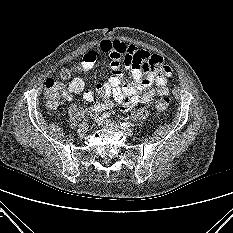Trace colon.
<instances>
[{
    "mask_svg": "<svg viewBox=\"0 0 233 233\" xmlns=\"http://www.w3.org/2000/svg\"><path fill=\"white\" fill-rule=\"evenodd\" d=\"M77 72L76 67L64 69L61 72V77L63 79L69 78L73 73ZM65 86L60 81L54 79H47L44 86V98L46 104L50 108L56 107L60 96L64 93ZM95 91L99 97L105 100L107 105H111L109 101V96L106 93L103 84H96ZM170 99L165 94H158L154 97L153 104L157 111L164 112L168 109Z\"/></svg>",
    "mask_w": 233,
    "mask_h": 233,
    "instance_id": "5ec220e1",
    "label": "colon"
}]
</instances>
